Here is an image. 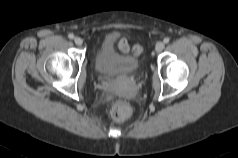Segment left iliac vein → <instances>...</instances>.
I'll return each instance as SVG.
<instances>
[{
    "label": "left iliac vein",
    "mask_w": 238,
    "mask_h": 158,
    "mask_svg": "<svg viewBox=\"0 0 238 158\" xmlns=\"http://www.w3.org/2000/svg\"><path fill=\"white\" fill-rule=\"evenodd\" d=\"M165 47V44L163 42H158L155 46L156 52H161Z\"/></svg>",
    "instance_id": "1"
}]
</instances>
